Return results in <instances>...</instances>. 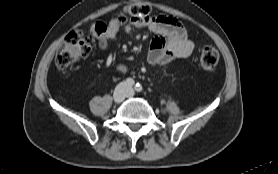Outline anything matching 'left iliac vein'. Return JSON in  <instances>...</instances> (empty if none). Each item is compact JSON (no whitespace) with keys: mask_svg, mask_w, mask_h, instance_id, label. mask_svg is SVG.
I'll return each mask as SVG.
<instances>
[{"mask_svg":"<svg viewBox=\"0 0 278 174\" xmlns=\"http://www.w3.org/2000/svg\"><path fill=\"white\" fill-rule=\"evenodd\" d=\"M134 95L133 91L130 88H127V96L132 97Z\"/></svg>","mask_w":278,"mask_h":174,"instance_id":"left-iliac-vein-1","label":"left iliac vein"}]
</instances>
